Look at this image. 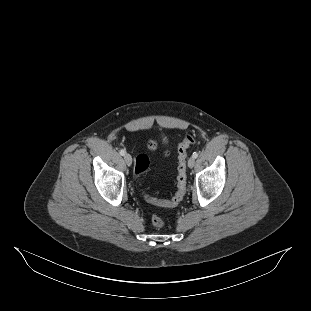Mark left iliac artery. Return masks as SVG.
I'll use <instances>...</instances> for the list:
<instances>
[{"instance_id": "obj_1", "label": "left iliac artery", "mask_w": 311, "mask_h": 311, "mask_svg": "<svg viewBox=\"0 0 311 311\" xmlns=\"http://www.w3.org/2000/svg\"><path fill=\"white\" fill-rule=\"evenodd\" d=\"M192 157L197 158V157H198V153H197V152H194L193 155H192Z\"/></svg>"}]
</instances>
